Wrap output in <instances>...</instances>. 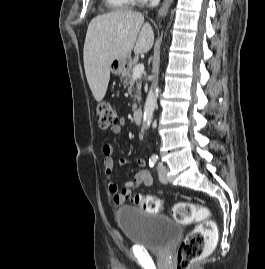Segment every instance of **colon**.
<instances>
[{
    "mask_svg": "<svg viewBox=\"0 0 265 269\" xmlns=\"http://www.w3.org/2000/svg\"><path fill=\"white\" fill-rule=\"evenodd\" d=\"M99 126L103 129L112 128L118 124V115L108 103L97 106ZM133 201L143 210L156 213L162 209V201L151 195L137 194ZM175 221L182 224L197 222V226L180 243L177 252L176 269H188L189 266L200 259L206 249L213 245L217 239V226L209 219L210 212L207 208L189 202H178L172 209Z\"/></svg>",
    "mask_w": 265,
    "mask_h": 269,
    "instance_id": "1",
    "label": "colon"
}]
</instances>
